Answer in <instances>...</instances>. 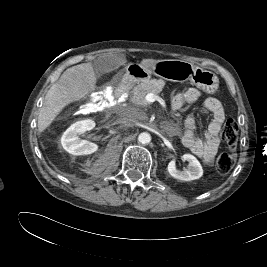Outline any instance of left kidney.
Here are the masks:
<instances>
[{
    "label": "left kidney",
    "mask_w": 267,
    "mask_h": 267,
    "mask_svg": "<svg viewBox=\"0 0 267 267\" xmlns=\"http://www.w3.org/2000/svg\"><path fill=\"white\" fill-rule=\"evenodd\" d=\"M183 158L189 162L188 168L178 170L176 169L175 161L172 160L167 167L169 174L182 181L199 179L203 175V169L197 158L191 154H184Z\"/></svg>",
    "instance_id": "5707ae66"
}]
</instances>
